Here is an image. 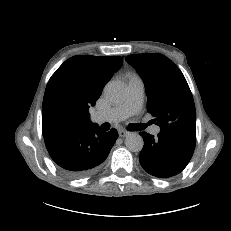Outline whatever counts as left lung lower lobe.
Here are the masks:
<instances>
[{"label":"left lung lower lobe","instance_id":"obj_1","mask_svg":"<svg viewBox=\"0 0 231 231\" xmlns=\"http://www.w3.org/2000/svg\"><path fill=\"white\" fill-rule=\"evenodd\" d=\"M144 146L139 160L142 168L149 174L168 178L182 172L189 163L196 144V137L160 132L154 138L146 132H141Z\"/></svg>","mask_w":231,"mask_h":231}]
</instances>
